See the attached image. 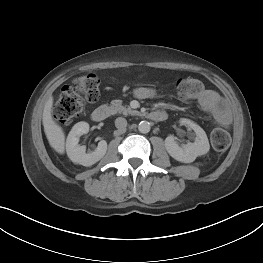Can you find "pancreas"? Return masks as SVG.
Instances as JSON below:
<instances>
[{
  "label": "pancreas",
  "instance_id": "cf45deb5",
  "mask_svg": "<svg viewBox=\"0 0 263 263\" xmlns=\"http://www.w3.org/2000/svg\"><path fill=\"white\" fill-rule=\"evenodd\" d=\"M111 112L113 114L115 113H123L124 115H135L138 112L135 110H132L131 108H126L122 105L121 100H113L110 105Z\"/></svg>",
  "mask_w": 263,
  "mask_h": 263
}]
</instances>
